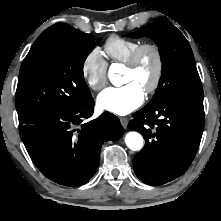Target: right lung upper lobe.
Here are the masks:
<instances>
[{"instance_id":"cb5924a9","label":"right lung upper lobe","mask_w":221,"mask_h":221,"mask_svg":"<svg viewBox=\"0 0 221 221\" xmlns=\"http://www.w3.org/2000/svg\"><path fill=\"white\" fill-rule=\"evenodd\" d=\"M83 32L78 31L70 25L64 23H57L46 29L34 42L33 46H36L44 41L54 38H76L82 35Z\"/></svg>"}]
</instances>
